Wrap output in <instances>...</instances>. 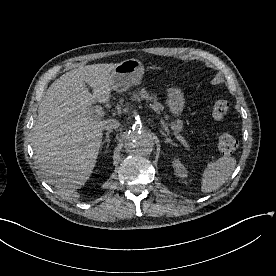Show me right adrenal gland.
I'll list each match as a JSON object with an SVG mask.
<instances>
[{
    "mask_svg": "<svg viewBox=\"0 0 276 276\" xmlns=\"http://www.w3.org/2000/svg\"><path fill=\"white\" fill-rule=\"evenodd\" d=\"M110 133L111 132H107L106 133V136H105V139L102 141V143H101V148L103 147V145L105 144V143H107V147L106 148H108V145H109V143H110Z\"/></svg>",
    "mask_w": 276,
    "mask_h": 276,
    "instance_id": "2a0ac1e0",
    "label": "right adrenal gland"
}]
</instances>
